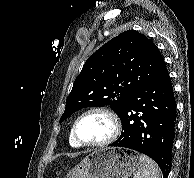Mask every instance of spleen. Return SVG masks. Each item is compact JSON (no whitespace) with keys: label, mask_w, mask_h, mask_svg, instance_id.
I'll return each instance as SVG.
<instances>
[{"label":"spleen","mask_w":194,"mask_h":178,"mask_svg":"<svg viewBox=\"0 0 194 178\" xmlns=\"http://www.w3.org/2000/svg\"><path fill=\"white\" fill-rule=\"evenodd\" d=\"M139 159L140 168L134 178H160V170L152 159L143 154L139 156Z\"/></svg>","instance_id":"3e777b00"}]
</instances>
